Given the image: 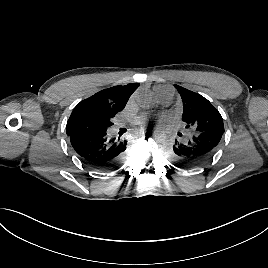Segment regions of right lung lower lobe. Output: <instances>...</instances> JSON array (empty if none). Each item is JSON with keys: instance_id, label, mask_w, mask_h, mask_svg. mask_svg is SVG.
<instances>
[{"instance_id": "1", "label": "right lung lower lobe", "mask_w": 268, "mask_h": 268, "mask_svg": "<svg viewBox=\"0 0 268 268\" xmlns=\"http://www.w3.org/2000/svg\"><path fill=\"white\" fill-rule=\"evenodd\" d=\"M70 142L80 160L98 170H112L123 160L127 141L99 134H69Z\"/></svg>"}]
</instances>
